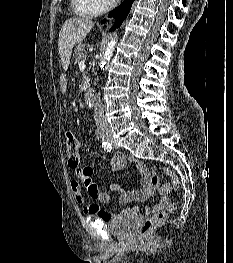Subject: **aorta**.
<instances>
[{
    "instance_id": "1",
    "label": "aorta",
    "mask_w": 233,
    "mask_h": 263,
    "mask_svg": "<svg viewBox=\"0 0 233 263\" xmlns=\"http://www.w3.org/2000/svg\"><path fill=\"white\" fill-rule=\"evenodd\" d=\"M115 45H116V36L111 39V41L107 45L105 52L103 53V57L100 61L101 67H104L107 61L112 57L114 49H115Z\"/></svg>"
}]
</instances>
